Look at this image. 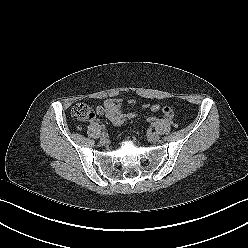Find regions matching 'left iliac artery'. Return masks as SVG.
I'll list each match as a JSON object with an SVG mask.
<instances>
[{
	"mask_svg": "<svg viewBox=\"0 0 248 248\" xmlns=\"http://www.w3.org/2000/svg\"><path fill=\"white\" fill-rule=\"evenodd\" d=\"M151 125H152V126H155V123L153 122Z\"/></svg>",
	"mask_w": 248,
	"mask_h": 248,
	"instance_id": "44dca946",
	"label": "left iliac artery"
}]
</instances>
